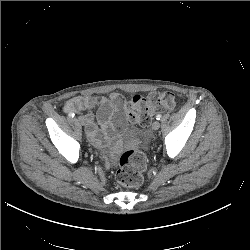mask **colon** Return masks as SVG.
Masks as SVG:
<instances>
[{"label": "colon", "mask_w": 250, "mask_h": 250, "mask_svg": "<svg viewBox=\"0 0 250 250\" xmlns=\"http://www.w3.org/2000/svg\"><path fill=\"white\" fill-rule=\"evenodd\" d=\"M175 104V96L169 91L152 92L147 96L136 95L128 105L129 119L146 128L155 112L171 111ZM145 167L146 159L138 144L130 147L120 157L116 180L124 187H138L143 181Z\"/></svg>", "instance_id": "colon-1"}]
</instances>
